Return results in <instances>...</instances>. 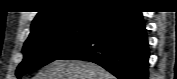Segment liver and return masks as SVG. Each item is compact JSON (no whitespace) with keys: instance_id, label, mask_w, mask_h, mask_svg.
Returning a JSON list of instances; mask_svg holds the SVG:
<instances>
[{"instance_id":"obj_1","label":"liver","mask_w":177,"mask_h":79,"mask_svg":"<svg viewBox=\"0 0 177 79\" xmlns=\"http://www.w3.org/2000/svg\"><path fill=\"white\" fill-rule=\"evenodd\" d=\"M34 79H113V76L92 62L67 59L50 63Z\"/></svg>"}]
</instances>
